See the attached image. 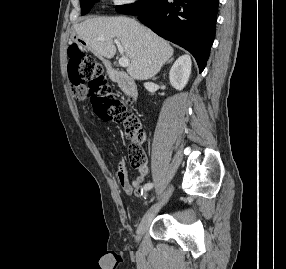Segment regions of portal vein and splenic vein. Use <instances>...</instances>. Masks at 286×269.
I'll use <instances>...</instances> for the list:
<instances>
[{"mask_svg":"<svg viewBox=\"0 0 286 269\" xmlns=\"http://www.w3.org/2000/svg\"><path fill=\"white\" fill-rule=\"evenodd\" d=\"M99 40L104 41V38H99ZM114 43L116 44L120 54L121 58L119 59L118 63L121 67H127L130 63L129 59L124 55L123 47L118 39L114 40Z\"/></svg>","mask_w":286,"mask_h":269,"instance_id":"18ae733b","label":"portal vein and splenic vein"}]
</instances>
